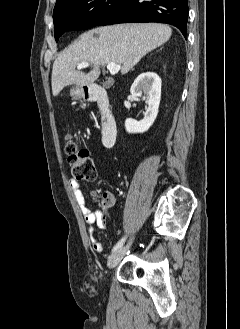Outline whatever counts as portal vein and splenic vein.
Segmentation results:
<instances>
[{"mask_svg": "<svg viewBox=\"0 0 240 329\" xmlns=\"http://www.w3.org/2000/svg\"><path fill=\"white\" fill-rule=\"evenodd\" d=\"M90 64L88 62H83L81 64H78L77 69H83V68H87ZM107 69L109 70L111 75H115L119 72V70L121 69L120 65H117L114 62H110L107 64Z\"/></svg>", "mask_w": 240, "mask_h": 329, "instance_id": "portal-vein-and-splenic-vein-1", "label": "portal vein and splenic vein"}]
</instances>
